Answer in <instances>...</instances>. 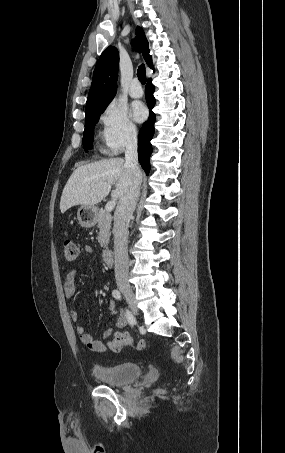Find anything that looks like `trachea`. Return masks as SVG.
Returning a JSON list of instances; mask_svg holds the SVG:
<instances>
[{
  "label": "trachea",
  "mask_w": 285,
  "mask_h": 453,
  "mask_svg": "<svg viewBox=\"0 0 285 453\" xmlns=\"http://www.w3.org/2000/svg\"><path fill=\"white\" fill-rule=\"evenodd\" d=\"M137 76H138V79L139 81L142 83V84H145L146 83V71H145V65H140L138 70H137Z\"/></svg>",
  "instance_id": "1"
}]
</instances>
